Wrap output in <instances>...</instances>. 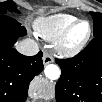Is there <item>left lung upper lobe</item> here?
I'll use <instances>...</instances> for the list:
<instances>
[{"label":"left lung upper lobe","instance_id":"obj_1","mask_svg":"<svg viewBox=\"0 0 102 102\" xmlns=\"http://www.w3.org/2000/svg\"><path fill=\"white\" fill-rule=\"evenodd\" d=\"M94 21V36H102V14L90 12Z\"/></svg>","mask_w":102,"mask_h":102}]
</instances>
